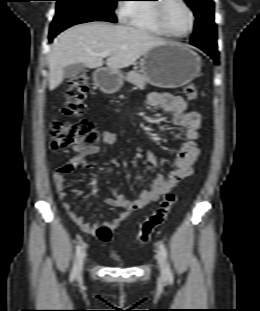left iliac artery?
<instances>
[{
  "label": "left iliac artery",
  "instance_id": "44dca946",
  "mask_svg": "<svg viewBox=\"0 0 260 311\" xmlns=\"http://www.w3.org/2000/svg\"><path fill=\"white\" fill-rule=\"evenodd\" d=\"M159 247H160V250H161V253H162L164 259L166 260L167 259V250L165 248V245L163 243H160ZM166 273H167L169 280L172 281L173 280V273L171 271V268H170L168 262L166 263Z\"/></svg>",
  "mask_w": 260,
  "mask_h": 311
}]
</instances>
